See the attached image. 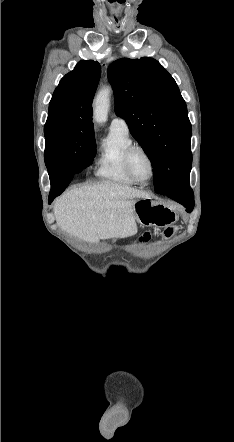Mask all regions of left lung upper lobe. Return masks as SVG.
<instances>
[{
    "label": "left lung upper lobe",
    "instance_id": "1",
    "mask_svg": "<svg viewBox=\"0 0 234 442\" xmlns=\"http://www.w3.org/2000/svg\"><path fill=\"white\" fill-rule=\"evenodd\" d=\"M108 79L115 112L125 119L149 157L155 191L163 194L185 180L192 165V129L179 88L159 62L149 57L114 61Z\"/></svg>",
    "mask_w": 234,
    "mask_h": 442
}]
</instances>
